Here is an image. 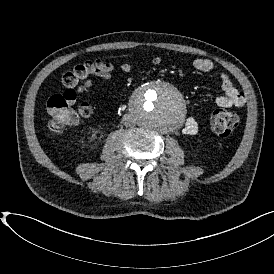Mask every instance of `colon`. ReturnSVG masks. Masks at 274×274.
<instances>
[{
	"instance_id": "colon-1",
	"label": "colon",
	"mask_w": 274,
	"mask_h": 274,
	"mask_svg": "<svg viewBox=\"0 0 274 274\" xmlns=\"http://www.w3.org/2000/svg\"><path fill=\"white\" fill-rule=\"evenodd\" d=\"M103 63L94 60L76 65L62 75V84L66 91L61 94H54L47 100V109L52 115L49 121V132L58 136L70 127L76 125L80 118L87 117L92 111L91 106L85 102H77L78 92L81 91L82 84L90 80L89 77L100 73ZM238 126V116L234 112L218 110L211 117V129L219 136L230 135Z\"/></svg>"
}]
</instances>
